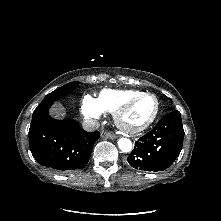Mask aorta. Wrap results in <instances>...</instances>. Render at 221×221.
I'll list each match as a JSON object with an SVG mask.
<instances>
[{
	"label": "aorta",
	"instance_id": "762f6f07",
	"mask_svg": "<svg viewBox=\"0 0 221 221\" xmlns=\"http://www.w3.org/2000/svg\"><path fill=\"white\" fill-rule=\"evenodd\" d=\"M119 149L122 152H130L132 150V142L128 138H120L118 140Z\"/></svg>",
	"mask_w": 221,
	"mask_h": 221
}]
</instances>
